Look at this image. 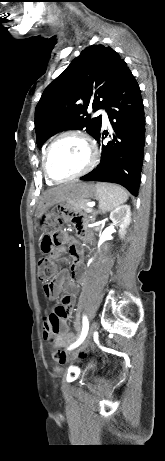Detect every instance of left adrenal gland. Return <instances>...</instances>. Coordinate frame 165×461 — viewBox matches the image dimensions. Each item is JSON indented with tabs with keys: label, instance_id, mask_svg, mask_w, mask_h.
Segmentation results:
<instances>
[{
	"label": "left adrenal gland",
	"instance_id": "obj_1",
	"mask_svg": "<svg viewBox=\"0 0 165 461\" xmlns=\"http://www.w3.org/2000/svg\"><path fill=\"white\" fill-rule=\"evenodd\" d=\"M100 213H101L100 210H98V211H93L92 216H90L91 222H94V221H95V218H96V216H97V214H100Z\"/></svg>",
	"mask_w": 165,
	"mask_h": 461
}]
</instances>
